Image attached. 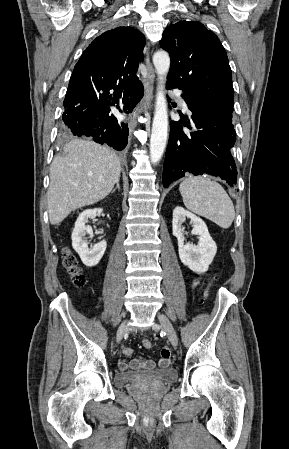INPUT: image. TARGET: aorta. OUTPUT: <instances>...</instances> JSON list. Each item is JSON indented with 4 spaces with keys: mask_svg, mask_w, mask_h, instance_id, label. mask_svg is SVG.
I'll list each match as a JSON object with an SVG mask.
<instances>
[{
    "mask_svg": "<svg viewBox=\"0 0 289 449\" xmlns=\"http://www.w3.org/2000/svg\"><path fill=\"white\" fill-rule=\"evenodd\" d=\"M153 63L158 75L159 85L150 138V158L151 162L156 164L164 153L168 135V112L164 87L170 68V57L166 51H157L153 55Z\"/></svg>",
    "mask_w": 289,
    "mask_h": 449,
    "instance_id": "1",
    "label": "aorta"
}]
</instances>
